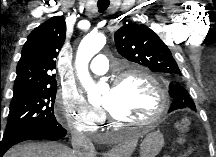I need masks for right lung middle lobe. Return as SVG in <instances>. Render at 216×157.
I'll use <instances>...</instances> for the list:
<instances>
[{
    "instance_id": "dd1d6c3e",
    "label": "right lung middle lobe",
    "mask_w": 216,
    "mask_h": 157,
    "mask_svg": "<svg viewBox=\"0 0 216 157\" xmlns=\"http://www.w3.org/2000/svg\"><path fill=\"white\" fill-rule=\"evenodd\" d=\"M56 87L23 91L13 95L3 139L41 126L58 125L54 115Z\"/></svg>"
}]
</instances>
